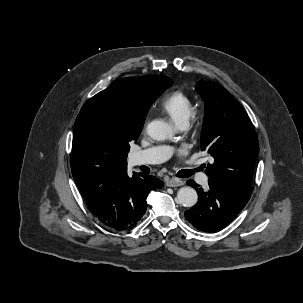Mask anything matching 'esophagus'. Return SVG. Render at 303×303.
Segmentation results:
<instances>
[{
    "label": "esophagus",
    "instance_id": "1",
    "mask_svg": "<svg viewBox=\"0 0 303 303\" xmlns=\"http://www.w3.org/2000/svg\"><path fill=\"white\" fill-rule=\"evenodd\" d=\"M182 185H184V182L178 178H171L166 181V186H168V187H179Z\"/></svg>",
    "mask_w": 303,
    "mask_h": 303
}]
</instances>
